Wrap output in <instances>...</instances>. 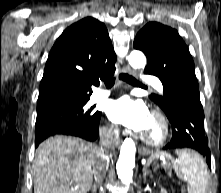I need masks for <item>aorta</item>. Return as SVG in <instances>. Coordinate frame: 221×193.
<instances>
[{"mask_svg": "<svg viewBox=\"0 0 221 193\" xmlns=\"http://www.w3.org/2000/svg\"><path fill=\"white\" fill-rule=\"evenodd\" d=\"M129 64L134 69H141L146 66L145 55L138 50H133L128 57ZM135 143L131 138H126L121 145L116 170L119 179L123 184L129 185L132 182L133 168L135 166Z\"/></svg>", "mask_w": 221, "mask_h": 193, "instance_id": "762f6f07", "label": "aorta"}]
</instances>
